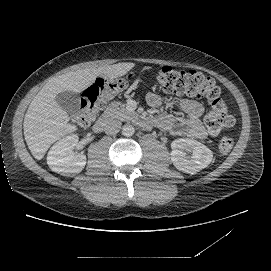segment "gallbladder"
Here are the masks:
<instances>
[{
  "label": "gallbladder",
  "instance_id": "1",
  "mask_svg": "<svg viewBox=\"0 0 271 271\" xmlns=\"http://www.w3.org/2000/svg\"><path fill=\"white\" fill-rule=\"evenodd\" d=\"M59 106L69 114H75L80 111V97L73 92H63L56 97Z\"/></svg>",
  "mask_w": 271,
  "mask_h": 271
}]
</instances>
